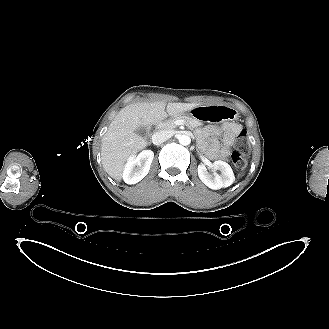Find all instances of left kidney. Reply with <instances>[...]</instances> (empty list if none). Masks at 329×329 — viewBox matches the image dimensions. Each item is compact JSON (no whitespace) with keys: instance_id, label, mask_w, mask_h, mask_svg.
<instances>
[{"instance_id":"obj_1","label":"left kidney","mask_w":329,"mask_h":329,"mask_svg":"<svg viewBox=\"0 0 329 329\" xmlns=\"http://www.w3.org/2000/svg\"><path fill=\"white\" fill-rule=\"evenodd\" d=\"M214 169L220 170L221 175L209 174L205 165L198 166V176L200 180L210 189H220L230 186L234 180V173L230 165L224 161L218 160L213 163Z\"/></svg>"}]
</instances>
